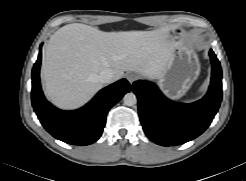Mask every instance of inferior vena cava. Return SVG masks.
<instances>
[{"label": "inferior vena cava", "mask_w": 246, "mask_h": 181, "mask_svg": "<svg viewBox=\"0 0 246 181\" xmlns=\"http://www.w3.org/2000/svg\"><path fill=\"white\" fill-rule=\"evenodd\" d=\"M100 83H111L114 81V72L110 68L103 69L97 76Z\"/></svg>", "instance_id": "obj_1"}]
</instances>
